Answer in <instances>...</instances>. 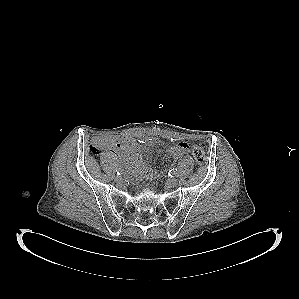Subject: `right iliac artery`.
I'll use <instances>...</instances> for the list:
<instances>
[{
    "mask_svg": "<svg viewBox=\"0 0 299 299\" xmlns=\"http://www.w3.org/2000/svg\"><path fill=\"white\" fill-rule=\"evenodd\" d=\"M116 172H117V175H121L123 173V170L118 169V170H116Z\"/></svg>",
    "mask_w": 299,
    "mask_h": 299,
    "instance_id": "1",
    "label": "right iliac artery"
}]
</instances>
